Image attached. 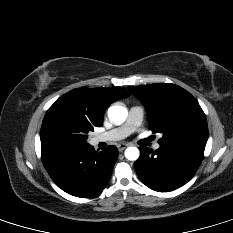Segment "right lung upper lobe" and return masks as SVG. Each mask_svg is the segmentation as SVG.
Returning <instances> with one entry per match:
<instances>
[{
  "instance_id": "right-lung-upper-lobe-1",
  "label": "right lung upper lobe",
  "mask_w": 233,
  "mask_h": 233,
  "mask_svg": "<svg viewBox=\"0 0 233 233\" xmlns=\"http://www.w3.org/2000/svg\"><path fill=\"white\" fill-rule=\"evenodd\" d=\"M130 95L123 87L76 88L59 99L68 102L73 110L91 123L101 126L106 108L116 100Z\"/></svg>"
}]
</instances>
